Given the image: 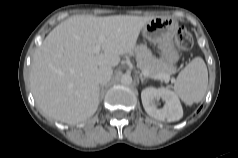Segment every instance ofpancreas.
Returning a JSON list of instances; mask_svg holds the SVG:
<instances>
[{"mask_svg": "<svg viewBox=\"0 0 238 158\" xmlns=\"http://www.w3.org/2000/svg\"><path fill=\"white\" fill-rule=\"evenodd\" d=\"M131 54L135 55L138 67L141 70H148L151 76L157 74L170 75L172 73V68L153 56L146 45L141 44L136 46Z\"/></svg>", "mask_w": 238, "mask_h": 158, "instance_id": "pancreas-1", "label": "pancreas"}]
</instances>
